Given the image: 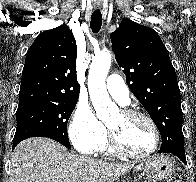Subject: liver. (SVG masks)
<instances>
[{
  "instance_id": "1",
  "label": "liver",
  "mask_w": 196,
  "mask_h": 182,
  "mask_svg": "<svg viewBox=\"0 0 196 182\" xmlns=\"http://www.w3.org/2000/svg\"><path fill=\"white\" fill-rule=\"evenodd\" d=\"M133 166L74 155L52 139L34 137L14 149L10 182H114Z\"/></svg>"
}]
</instances>
